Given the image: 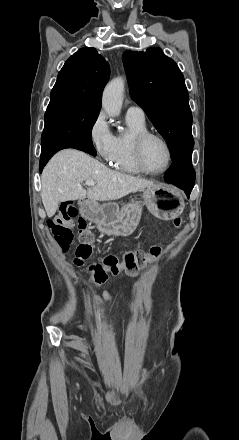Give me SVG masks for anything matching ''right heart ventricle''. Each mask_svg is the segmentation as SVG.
Here are the masks:
<instances>
[{
    "label": "right heart ventricle",
    "instance_id": "1",
    "mask_svg": "<svg viewBox=\"0 0 239 440\" xmlns=\"http://www.w3.org/2000/svg\"><path fill=\"white\" fill-rule=\"evenodd\" d=\"M127 119L130 130L128 133L116 137V152L110 162L112 166L119 171L137 175L142 172L137 167L133 157L132 141L137 133L147 130V126L145 121L139 122L133 119Z\"/></svg>",
    "mask_w": 239,
    "mask_h": 440
}]
</instances>
